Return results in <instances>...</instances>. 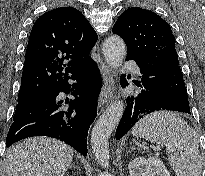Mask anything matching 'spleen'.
<instances>
[{"label":"spleen","mask_w":205,"mask_h":176,"mask_svg":"<svg viewBox=\"0 0 205 176\" xmlns=\"http://www.w3.org/2000/svg\"><path fill=\"white\" fill-rule=\"evenodd\" d=\"M132 134L156 144H164L176 176H201L202 157L198 150V135L178 114L169 111L151 113L136 123Z\"/></svg>","instance_id":"obj_1"}]
</instances>
